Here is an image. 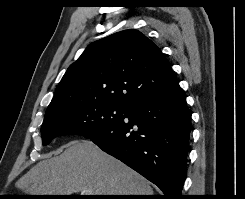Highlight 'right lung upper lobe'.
<instances>
[{
    "label": "right lung upper lobe",
    "instance_id": "1",
    "mask_svg": "<svg viewBox=\"0 0 245 199\" xmlns=\"http://www.w3.org/2000/svg\"><path fill=\"white\" fill-rule=\"evenodd\" d=\"M177 85L161 50L141 32L125 30L88 45L67 69L45 116L78 104L130 107Z\"/></svg>",
    "mask_w": 245,
    "mask_h": 199
}]
</instances>
